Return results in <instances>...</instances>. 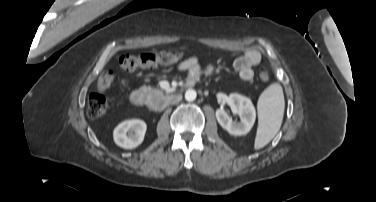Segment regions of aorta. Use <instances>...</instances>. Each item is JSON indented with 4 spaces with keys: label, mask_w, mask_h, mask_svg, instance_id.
Returning a JSON list of instances; mask_svg holds the SVG:
<instances>
[{
    "label": "aorta",
    "mask_w": 376,
    "mask_h": 202,
    "mask_svg": "<svg viewBox=\"0 0 376 202\" xmlns=\"http://www.w3.org/2000/svg\"><path fill=\"white\" fill-rule=\"evenodd\" d=\"M197 93L194 89H188L185 92V99L187 101H194L196 99Z\"/></svg>",
    "instance_id": "1"
}]
</instances>
